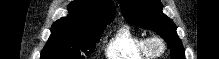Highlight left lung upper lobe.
Instances as JSON below:
<instances>
[{"instance_id":"5c2ea615","label":"left lung upper lobe","mask_w":219,"mask_h":59,"mask_svg":"<svg viewBox=\"0 0 219 59\" xmlns=\"http://www.w3.org/2000/svg\"><path fill=\"white\" fill-rule=\"evenodd\" d=\"M123 16L133 25L159 34L168 44L171 59H185L174 22L162 12L159 0H120Z\"/></svg>"}]
</instances>
